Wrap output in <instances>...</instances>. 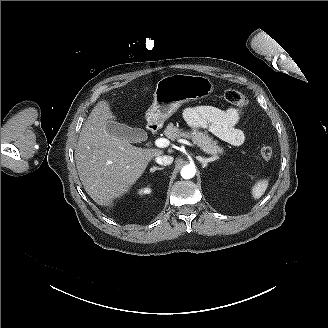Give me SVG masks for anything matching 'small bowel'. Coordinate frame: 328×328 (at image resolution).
I'll return each instance as SVG.
<instances>
[{
	"label": "small bowel",
	"instance_id": "1",
	"mask_svg": "<svg viewBox=\"0 0 328 328\" xmlns=\"http://www.w3.org/2000/svg\"><path fill=\"white\" fill-rule=\"evenodd\" d=\"M183 115L193 129H206L228 144L239 146L245 141V131L238 126L245 117L240 109L222 110L211 105H197L186 108Z\"/></svg>",
	"mask_w": 328,
	"mask_h": 328
}]
</instances>
